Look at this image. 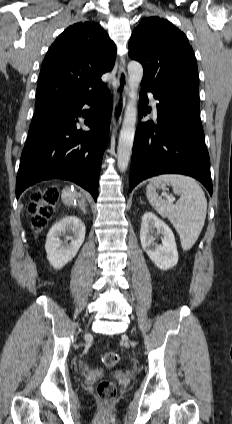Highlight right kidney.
<instances>
[{"mask_svg":"<svg viewBox=\"0 0 232 424\" xmlns=\"http://www.w3.org/2000/svg\"><path fill=\"white\" fill-rule=\"evenodd\" d=\"M69 232L73 237H66L65 241L60 239L62 233ZM85 225L75 216H68L52 226L50 229L45 249L47 259L55 269H61L77 254L85 239ZM68 240L71 242L68 244Z\"/></svg>","mask_w":232,"mask_h":424,"instance_id":"ca27d5eb","label":"right kidney"}]
</instances>
